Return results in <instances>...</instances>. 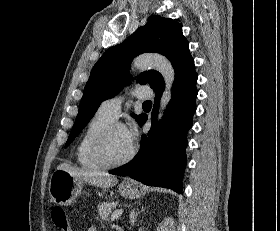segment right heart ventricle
I'll list each match as a JSON object with an SVG mask.
<instances>
[{"mask_svg": "<svg viewBox=\"0 0 280 231\" xmlns=\"http://www.w3.org/2000/svg\"><path fill=\"white\" fill-rule=\"evenodd\" d=\"M110 117L97 112L87 123L75 145V160L77 165L86 171H96L105 167L92 156L93 143L100 131L110 122Z\"/></svg>", "mask_w": 280, "mask_h": 231, "instance_id": "e07e8e85", "label": "right heart ventricle"}]
</instances>
